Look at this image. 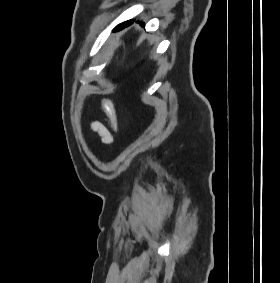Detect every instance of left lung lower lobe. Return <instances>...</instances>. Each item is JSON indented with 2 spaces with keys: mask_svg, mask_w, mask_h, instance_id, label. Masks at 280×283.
I'll use <instances>...</instances> for the list:
<instances>
[{
  "mask_svg": "<svg viewBox=\"0 0 280 283\" xmlns=\"http://www.w3.org/2000/svg\"><path fill=\"white\" fill-rule=\"evenodd\" d=\"M130 24H132V21L123 22L122 24H119V25L114 29V31L121 30V29H123L124 27L129 26ZM140 24L143 25V23H140Z\"/></svg>",
  "mask_w": 280,
  "mask_h": 283,
  "instance_id": "obj_1",
  "label": "left lung lower lobe"
}]
</instances>
